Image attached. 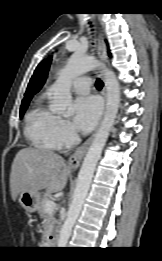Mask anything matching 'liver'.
<instances>
[{"label": "liver", "instance_id": "obj_1", "mask_svg": "<svg viewBox=\"0 0 162 261\" xmlns=\"http://www.w3.org/2000/svg\"><path fill=\"white\" fill-rule=\"evenodd\" d=\"M71 171L64 159L51 151L40 148H23L15 156L10 174L13 201L21 192L56 193L62 191Z\"/></svg>", "mask_w": 162, "mask_h": 261}]
</instances>
